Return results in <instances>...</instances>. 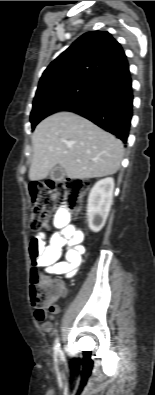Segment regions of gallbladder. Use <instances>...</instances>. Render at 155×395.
<instances>
[{
    "label": "gallbladder",
    "mask_w": 155,
    "mask_h": 395,
    "mask_svg": "<svg viewBox=\"0 0 155 395\" xmlns=\"http://www.w3.org/2000/svg\"><path fill=\"white\" fill-rule=\"evenodd\" d=\"M49 177L51 180L56 181V182L62 181L65 177V171L61 166H55L51 170Z\"/></svg>",
    "instance_id": "bac80fb5"
}]
</instances>
